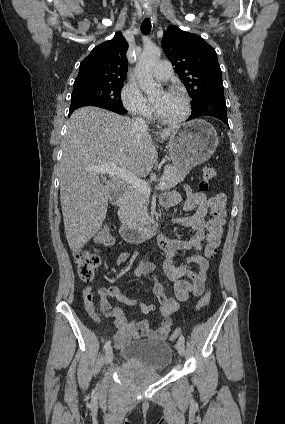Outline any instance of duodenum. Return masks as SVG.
<instances>
[{
	"label": "duodenum",
	"mask_w": 285,
	"mask_h": 424,
	"mask_svg": "<svg viewBox=\"0 0 285 424\" xmlns=\"http://www.w3.org/2000/svg\"><path fill=\"white\" fill-rule=\"evenodd\" d=\"M114 184L119 192H122L124 190V186L120 182L115 181ZM159 231L160 225L156 223L150 226L122 228L120 230V235L125 242L130 244H136L152 238Z\"/></svg>",
	"instance_id": "duodenum-1"
}]
</instances>
